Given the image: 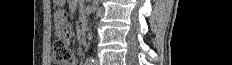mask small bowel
I'll return each mask as SVG.
<instances>
[{
    "mask_svg": "<svg viewBox=\"0 0 232 65\" xmlns=\"http://www.w3.org/2000/svg\"><path fill=\"white\" fill-rule=\"evenodd\" d=\"M55 21H61V23H56L55 27L57 28V32L55 33L56 37H66V40H77V35H73L68 29V24L64 23L67 20L66 12H56V16L54 17ZM62 65H71L69 63H63Z\"/></svg>",
    "mask_w": 232,
    "mask_h": 65,
    "instance_id": "obj_1",
    "label": "small bowel"
}]
</instances>
